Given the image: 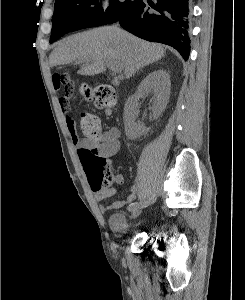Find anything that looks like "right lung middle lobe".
Returning a JSON list of instances; mask_svg holds the SVG:
<instances>
[{
	"label": "right lung middle lobe",
	"mask_w": 245,
	"mask_h": 300,
	"mask_svg": "<svg viewBox=\"0 0 245 300\" xmlns=\"http://www.w3.org/2000/svg\"><path fill=\"white\" fill-rule=\"evenodd\" d=\"M140 0H111L106 11L98 0H58L55 2L50 42L58 39L55 23L68 20L83 28L96 27L117 22L134 8Z\"/></svg>",
	"instance_id": "right-lung-middle-lobe-1"
}]
</instances>
